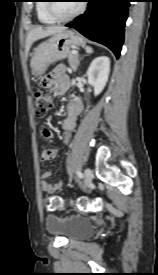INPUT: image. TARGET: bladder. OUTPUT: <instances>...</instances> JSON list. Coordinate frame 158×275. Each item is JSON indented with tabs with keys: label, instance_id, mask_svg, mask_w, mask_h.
I'll return each instance as SVG.
<instances>
[{
	"label": "bladder",
	"instance_id": "obj_1",
	"mask_svg": "<svg viewBox=\"0 0 158 275\" xmlns=\"http://www.w3.org/2000/svg\"><path fill=\"white\" fill-rule=\"evenodd\" d=\"M45 225L50 234L60 235L68 240L83 239L89 236L92 231L91 220L82 216L47 214Z\"/></svg>",
	"mask_w": 158,
	"mask_h": 275
}]
</instances>
